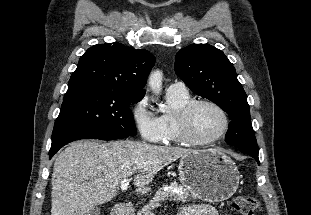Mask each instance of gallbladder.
Returning a JSON list of instances; mask_svg holds the SVG:
<instances>
[{"mask_svg": "<svg viewBox=\"0 0 311 215\" xmlns=\"http://www.w3.org/2000/svg\"><path fill=\"white\" fill-rule=\"evenodd\" d=\"M100 214V208L99 207H94L88 215H99Z\"/></svg>", "mask_w": 311, "mask_h": 215, "instance_id": "bac80fb5", "label": "gallbladder"}]
</instances>
